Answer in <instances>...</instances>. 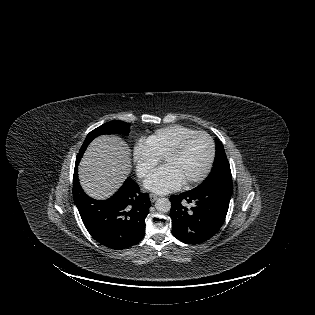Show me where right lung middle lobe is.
<instances>
[{
  "instance_id": "right-lung-middle-lobe-1",
  "label": "right lung middle lobe",
  "mask_w": 315,
  "mask_h": 315,
  "mask_svg": "<svg viewBox=\"0 0 315 315\" xmlns=\"http://www.w3.org/2000/svg\"><path fill=\"white\" fill-rule=\"evenodd\" d=\"M129 127H130V124L126 122L114 120V121L107 122L99 126L98 128L94 129L93 131H91L87 135L85 141L83 142V145L78 153L76 163L77 164L79 163L87 146L95 137L103 135V134H113V133L128 134L130 130Z\"/></svg>"
}]
</instances>
